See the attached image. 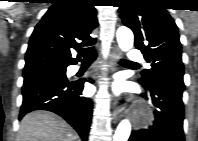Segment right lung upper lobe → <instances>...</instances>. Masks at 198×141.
I'll list each match as a JSON object with an SVG mask.
<instances>
[{"label":"right lung upper lobe","instance_id":"obj_1","mask_svg":"<svg viewBox=\"0 0 198 141\" xmlns=\"http://www.w3.org/2000/svg\"><path fill=\"white\" fill-rule=\"evenodd\" d=\"M92 0H57L36 25L26 52L23 72L75 64L72 51L93 45L98 26Z\"/></svg>","mask_w":198,"mask_h":141}]
</instances>
